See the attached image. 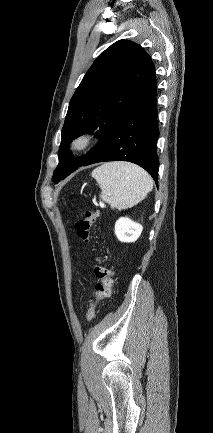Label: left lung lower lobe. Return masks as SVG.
I'll list each match as a JSON object with an SVG mask.
<instances>
[{
    "instance_id": "0a47b994",
    "label": "left lung lower lobe",
    "mask_w": 213,
    "mask_h": 433,
    "mask_svg": "<svg viewBox=\"0 0 213 433\" xmlns=\"http://www.w3.org/2000/svg\"><path fill=\"white\" fill-rule=\"evenodd\" d=\"M155 70L127 105L99 150L85 163L129 161L144 168L158 185L159 136Z\"/></svg>"
}]
</instances>
